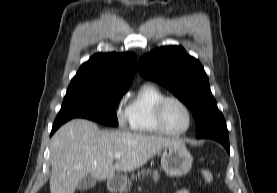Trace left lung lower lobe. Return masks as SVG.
Wrapping results in <instances>:
<instances>
[{"label": "left lung lower lobe", "instance_id": "obj_1", "mask_svg": "<svg viewBox=\"0 0 277 193\" xmlns=\"http://www.w3.org/2000/svg\"><path fill=\"white\" fill-rule=\"evenodd\" d=\"M201 138H210L220 142L229 153V133L227 128H220L206 133Z\"/></svg>", "mask_w": 277, "mask_h": 193}]
</instances>
